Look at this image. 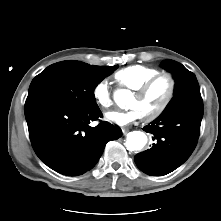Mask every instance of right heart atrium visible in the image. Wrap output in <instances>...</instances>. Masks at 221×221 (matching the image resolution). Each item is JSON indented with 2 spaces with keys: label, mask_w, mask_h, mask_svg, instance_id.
<instances>
[{
  "label": "right heart atrium",
  "mask_w": 221,
  "mask_h": 221,
  "mask_svg": "<svg viewBox=\"0 0 221 221\" xmlns=\"http://www.w3.org/2000/svg\"><path fill=\"white\" fill-rule=\"evenodd\" d=\"M93 97L102 109H108L112 105V95L107 81L102 80L95 85Z\"/></svg>",
  "instance_id": "right-heart-atrium-1"
}]
</instances>
